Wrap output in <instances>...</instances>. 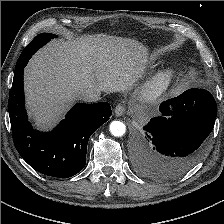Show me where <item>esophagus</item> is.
<instances>
[{"mask_svg": "<svg viewBox=\"0 0 224 224\" xmlns=\"http://www.w3.org/2000/svg\"><path fill=\"white\" fill-rule=\"evenodd\" d=\"M125 110H126V109H125V105L122 104V103H119V104L115 107L114 112H115V115H116L117 117H120V116L124 115Z\"/></svg>", "mask_w": 224, "mask_h": 224, "instance_id": "obj_1", "label": "esophagus"}]
</instances>
